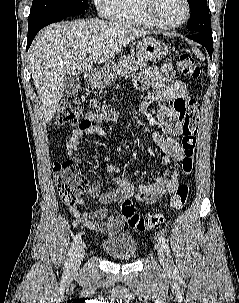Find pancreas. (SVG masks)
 <instances>
[{"label": "pancreas", "instance_id": "cf45deb5", "mask_svg": "<svg viewBox=\"0 0 239 303\" xmlns=\"http://www.w3.org/2000/svg\"><path fill=\"white\" fill-rule=\"evenodd\" d=\"M147 63L142 59H136L134 56H123L117 64L112 67L115 77L117 75H128L137 71L139 68H145Z\"/></svg>", "mask_w": 239, "mask_h": 303}]
</instances>
